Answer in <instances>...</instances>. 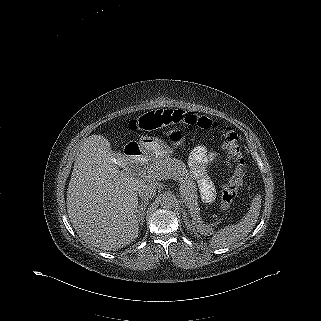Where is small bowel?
I'll use <instances>...</instances> for the list:
<instances>
[{"instance_id": "1", "label": "small bowel", "mask_w": 321, "mask_h": 321, "mask_svg": "<svg viewBox=\"0 0 321 321\" xmlns=\"http://www.w3.org/2000/svg\"><path fill=\"white\" fill-rule=\"evenodd\" d=\"M195 154H203L205 159L212 162L217 159V155L213 152H207L201 148H197L195 151Z\"/></svg>"}]
</instances>
